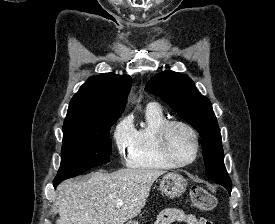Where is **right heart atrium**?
Returning <instances> with one entry per match:
<instances>
[{"label":"right heart atrium","instance_id":"1","mask_svg":"<svg viewBox=\"0 0 275 224\" xmlns=\"http://www.w3.org/2000/svg\"><path fill=\"white\" fill-rule=\"evenodd\" d=\"M134 127L128 117L121 119L113 132V141L118 153L121 156L126 155L133 143Z\"/></svg>","mask_w":275,"mask_h":224}]
</instances>
